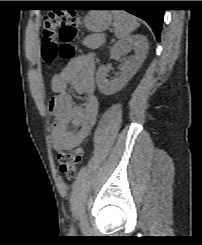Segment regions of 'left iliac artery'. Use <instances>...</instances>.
I'll list each match as a JSON object with an SVG mask.
<instances>
[{"label": "left iliac artery", "instance_id": "left-iliac-artery-1", "mask_svg": "<svg viewBox=\"0 0 202 245\" xmlns=\"http://www.w3.org/2000/svg\"><path fill=\"white\" fill-rule=\"evenodd\" d=\"M75 231H76V230H75L74 226H71L70 232H71V233H75Z\"/></svg>", "mask_w": 202, "mask_h": 245}]
</instances>
